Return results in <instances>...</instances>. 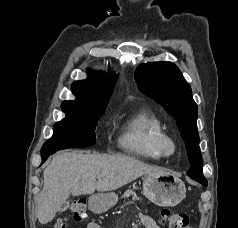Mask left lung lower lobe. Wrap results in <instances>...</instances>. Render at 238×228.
Masks as SVG:
<instances>
[{
  "mask_svg": "<svg viewBox=\"0 0 238 228\" xmlns=\"http://www.w3.org/2000/svg\"><path fill=\"white\" fill-rule=\"evenodd\" d=\"M188 176L192 177L197 182L201 183L203 186H207V180L204 176H196V175H188Z\"/></svg>",
  "mask_w": 238,
  "mask_h": 228,
  "instance_id": "1",
  "label": "left lung lower lobe"
}]
</instances>
